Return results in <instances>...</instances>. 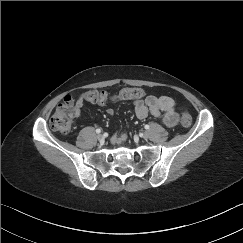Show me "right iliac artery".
<instances>
[{
	"mask_svg": "<svg viewBox=\"0 0 243 243\" xmlns=\"http://www.w3.org/2000/svg\"><path fill=\"white\" fill-rule=\"evenodd\" d=\"M96 133H101V129H96Z\"/></svg>",
	"mask_w": 243,
	"mask_h": 243,
	"instance_id": "obj_1",
	"label": "right iliac artery"
}]
</instances>
